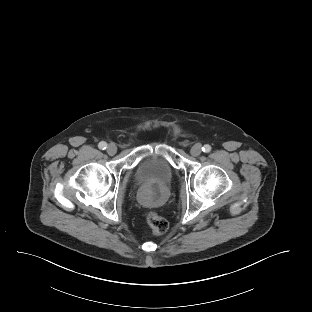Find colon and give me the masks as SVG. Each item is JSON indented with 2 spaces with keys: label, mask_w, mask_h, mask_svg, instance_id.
<instances>
[{
  "label": "colon",
  "mask_w": 312,
  "mask_h": 312,
  "mask_svg": "<svg viewBox=\"0 0 312 312\" xmlns=\"http://www.w3.org/2000/svg\"><path fill=\"white\" fill-rule=\"evenodd\" d=\"M146 222L150 232L154 235L163 234L169 228L167 220L156 212H149L146 215Z\"/></svg>",
  "instance_id": "colon-1"
}]
</instances>
